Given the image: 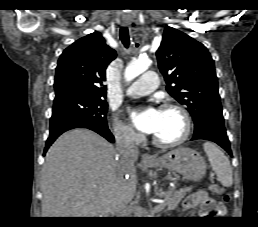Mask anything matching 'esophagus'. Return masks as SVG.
Instances as JSON below:
<instances>
[{
    "label": "esophagus",
    "instance_id": "1",
    "mask_svg": "<svg viewBox=\"0 0 258 227\" xmlns=\"http://www.w3.org/2000/svg\"><path fill=\"white\" fill-rule=\"evenodd\" d=\"M128 24H129L128 22H124V25H128ZM141 161L143 163H147V162L154 161V158L151 155H149L148 153H145L142 155Z\"/></svg>",
    "mask_w": 258,
    "mask_h": 227
}]
</instances>
